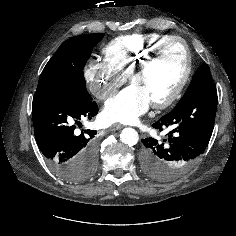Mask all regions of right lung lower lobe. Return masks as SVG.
<instances>
[{
    "label": "right lung lower lobe",
    "instance_id": "right-lung-lower-lobe-1",
    "mask_svg": "<svg viewBox=\"0 0 236 236\" xmlns=\"http://www.w3.org/2000/svg\"><path fill=\"white\" fill-rule=\"evenodd\" d=\"M98 113L95 101L77 97L38 93L33 97L32 117L39 149L51 167L64 179L75 182L78 168L97 159L96 131L77 125Z\"/></svg>",
    "mask_w": 236,
    "mask_h": 236
}]
</instances>
